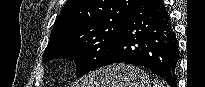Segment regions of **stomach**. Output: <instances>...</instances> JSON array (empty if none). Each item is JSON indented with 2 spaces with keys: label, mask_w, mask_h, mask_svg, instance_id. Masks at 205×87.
Instances as JSON below:
<instances>
[{
  "label": "stomach",
  "mask_w": 205,
  "mask_h": 87,
  "mask_svg": "<svg viewBox=\"0 0 205 87\" xmlns=\"http://www.w3.org/2000/svg\"><path fill=\"white\" fill-rule=\"evenodd\" d=\"M80 87H150V79L138 67L119 64L92 72Z\"/></svg>",
  "instance_id": "obj_1"
}]
</instances>
